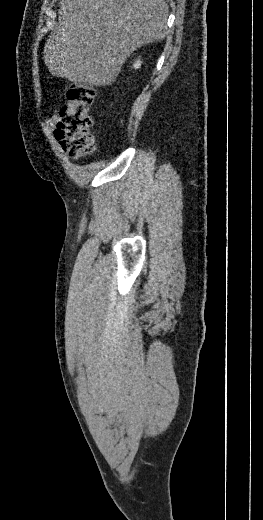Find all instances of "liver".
Here are the masks:
<instances>
[{"label":"liver","instance_id":"1","mask_svg":"<svg viewBox=\"0 0 263 520\" xmlns=\"http://www.w3.org/2000/svg\"><path fill=\"white\" fill-rule=\"evenodd\" d=\"M168 13L164 0H61L44 62L55 77L111 85L135 50L165 38Z\"/></svg>","mask_w":263,"mask_h":520}]
</instances>
